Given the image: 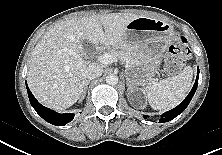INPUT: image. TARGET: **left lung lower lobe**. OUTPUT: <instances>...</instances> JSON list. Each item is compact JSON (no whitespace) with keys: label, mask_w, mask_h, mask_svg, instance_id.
<instances>
[{"label":"left lung lower lobe","mask_w":222,"mask_h":155,"mask_svg":"<svg viewBox=\"0 0 222 155\" xmlns=\"http://www.w3.org/2000/svg\"><path fill=\"white\" fill-rule=\"evenodd\" d=\"M198 76H199V68H198V71H197L196 81H195V84H194L191 92L188 94V96L184 99V101L181 104H179L174 109L162 114L161 118L159 120L160 123L168 122V121L174 119L175 117H177L179 114H181L186 109V107L190 103V101H191V99H192V97H193V95H194V93L197 89ZM144 117L146 118V116H144Z\"/></svg>","instance_id":"1"}]
</instances>
